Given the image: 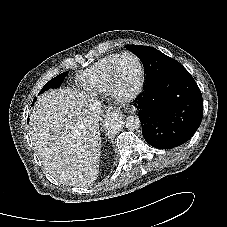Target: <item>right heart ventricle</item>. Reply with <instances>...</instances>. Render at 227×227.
<instances>
[{"label": "right heart ventricle", "mask_w": 227, "mask_h": 227, "mask_svg": "<svg viewBox=\"0 0 227 227\" xmlns=\"http://www.w3.org/2000/svg\"><path fill=\"white\" fill-rule=\"evenodd\" d=\"M118 54L108 55L93 64L80 79V86L85 92L93 94L110 93L108 73Z\"/></svg>", "instance_id": "obj_1"}]
</instances>
